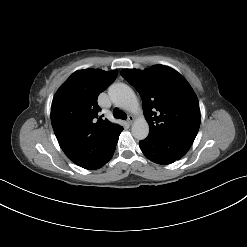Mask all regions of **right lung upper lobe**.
Returning <instances> with one entry per match:
<instances>
[{
    "instance_id": "1",
    "label": "right lung upper lobe",
    "mask_w": 247,
    "mask_h": 247,
    "mask_svg": "<svg viewBox=\"0 0 247 247\" xmlns=\"http://www.w3.org/2000/svg\"><path fill=\"white\" fill-rule=\"evenodd\" d=\"M118 72L99 69L73 73L55 94L51 123L60 147L79 165L87 160L96 144L121 126L99 117L97 98L116 79Z\"/></svg>"
}]
</instances>
